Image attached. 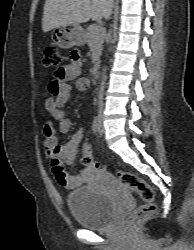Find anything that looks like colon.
<instances>
[{
  "label": "colon",
  "instance_id": "5ec220e1",
  "mask_svg": "<svg viewBox=\"0 0 194 250\" xmlns=\"http://www.w3.org/2000/svg\"><path fill=\"white\" fill-rule=\"evenodd\" d=\"M73 60H77V55H72ZM62 58L58 49L54 46H47L43 51L42 65L46 68H59L61 66ZM82 159L84 166L97 169L99 163L91 156V148L88 143L82 145ZM119 181L129 189L135 191L142 199V204L131 214L128 219V224H134L145 217H149L155 213L156 206L154 203L155 193L153 188L138 175L119 170L117 172Z\"/></svg>",
  "mask_w": 194,
  "mask_h": 250
}]
</instances>
